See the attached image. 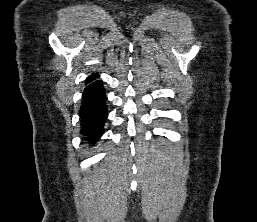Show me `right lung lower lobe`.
Returning <instances> with one entry per match:
<instances>
[{
    "label": "right lung lower lobe",
    "instance_id": "1",
    "mask_svg": "<svg viewBox=\"0 0 257 222\" xmlns=\"http://www.w3.org/2000/svg\"><path fill=\"white\" fill-rule=\"evenodd\" d=\"M86 81L83 92L82 106L79 112L81 118V134L83 140L95 143L103 133V125L107 118L106 96L101 80Z\"/></svg>",
    "mask_w": 257,
    "mask_h": 222
}]
</instances>
